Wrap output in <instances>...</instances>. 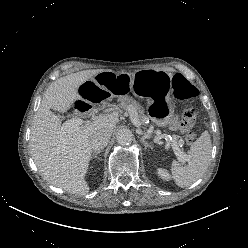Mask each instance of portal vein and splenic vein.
I'll return each instance as SVG.
<instances>
[{"mask_svg": "<svg viewBox=\"0 0 248 248\" xmlns=\"http://www.w3.org/2000/svg\"><path fill=\"white\" fill-rule=\"evenodd\" d=\"M129 115H130V119L133 123V125H135L136 127H139L141 125L140 121H139V118H138V113L134 110V109H130L129 110ZM103 114H100L99 116H96L94 118V120L102 117ZM89 122V121H88ZM84 123V121L81 119V118H73V119H70V120H67L65 123H63V125L61 126V132L62 133H72V132H75L76 130L79 129V126H81L82 124ZM169 145L172 146L173 150H174V153L182 158V159H185L186 158V154L185 152H183L178 144L176 142H172V143H168Z\"/></svg>", "mask_w": 248, "mask_h": 248, "instance_id": "portal-vein-and-splenic-vein-1", "label": "portal vein and splenic vein"}]
</instances>
